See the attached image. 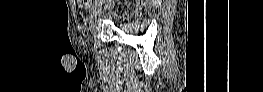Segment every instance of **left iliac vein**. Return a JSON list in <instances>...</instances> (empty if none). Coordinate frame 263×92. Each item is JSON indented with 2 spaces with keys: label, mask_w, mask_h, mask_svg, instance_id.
<instances>
[{
  "label": "left iliac vein",
  "mask_w": 263,
  "mask_h": 92,
  "mask_svg": "<svg viewBox=\"0 0 263 92\" xmlns=\"http://www.w3.org/2000/svg\"><path fill=\"white\" fill-rule=\"evenodd\" d=\"M96 3H97V10H96L95 15H92V18H91L92 33H93V32L95 31V29H96V25H97V23H98L99 20H100V15H101V13H103V8H102L103 0H96Z\"/></svg>",
  "instance_id": "left-iliac-vein-1"
}]
</instances>
